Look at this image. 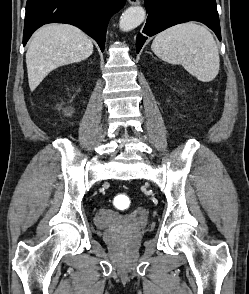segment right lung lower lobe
Instances as JSON below:
<instances>
[{
  "label": "right lung lower lobe",
  "mask_w": 249,
  "mask_h": 294,
  "mask_svg": "<svg viewBox=\"0 0 249 294\" xmlns=\"http://www.w3.org/2000/svg\"><path fill=\"white\" fill-rule=\"evenodd\" d=\"M126 0H27L23 45L32 33L47 23L72 24L92 37L104 50L110 17Z\"/></svg>",
  "instance_id": "right-lung-lower-lobe-1"
}]
</instances>
